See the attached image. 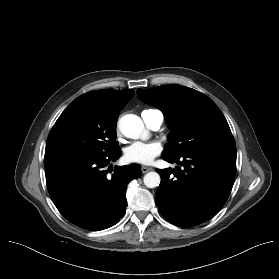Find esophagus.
Wrapping results in <instances>:
<instances>
[{"mask_svg": "<svg viewBox=\"0 0 279 279\" xmlns=\"http://www.w3.org/2000/svg\"><path fill=\"white\" fill-rule=\"evenodd\" d=\"M151 170H153L151 167H147V166H142L141 167L142 173H147V172H149Z\"/></svg>", "mask_w": 279, "mask_h": 279, "instance_id": "34e87169", "label": "esophagus"}]
</instances>
